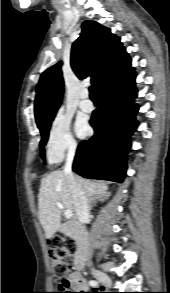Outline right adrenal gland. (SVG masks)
Here are the masks:
<instances>
[{
	"mask_svg": "<svg viewBox=\"0 0 170 293\" xmlns=\"http://www.w3.org/2000/svg\"><path fill=\"white\" fill-rule=\"evenodd\" d=\"M109 197V194L106 193L104 195H100V196H92V197H89V210L92 209L93 205L97 202V201H104L106 199H108Z\"/></svg>",
	"mask_w": 170,
	"mask_h": 293,
	"instance_id": "obj_1",
	"label": "right adrenal gland"
}]
</instances>
